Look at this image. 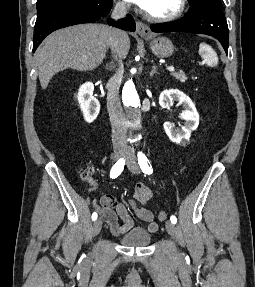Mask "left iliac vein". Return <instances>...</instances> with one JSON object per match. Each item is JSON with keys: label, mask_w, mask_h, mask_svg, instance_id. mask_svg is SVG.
Returning <instances> with one entry per match:
<instances>
[{"label": "left iliac vein", "mask_w": 255, "mask_h": 287, "mask_svg": "<svg viewBox=\"0 0 255 287\" xmlns=\"http://www.w3.org/2000/svg\"><path fill=\"white\" fill-rule=\"evenodd\" d=\"M126 154H127V167L128 169L134 173L138 174L140 172L139 165L137 163V160L134 156V151L131 147L126 148ZM166 230L168 234H170L173 238H175L176 228L175 225L171 221H167L166 224Z\"/></svg>", "instance_id": "obj_1"}]
</instances>
